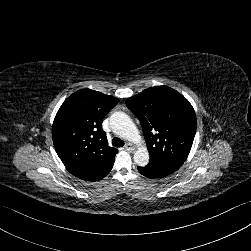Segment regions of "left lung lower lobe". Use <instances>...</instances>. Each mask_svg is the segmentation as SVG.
I'll return each mask as SVG.
<instances>
[{"label": "left lung lower lobe", "mask_w": 251, "mask_h": 251, "mask_svg": "<svg viewBox=\"0 0 251 251\" xmlns=\"http://www.w3.org/2000/svg\"><path fill=\"white\" fill-rule=\"evenodd\" d=\"M180 167V165L174 162L150 157L148 165L145 167H138V171L148 178H163L174 173Z\"/></svg>", "instance_id": "0a47b994"}]
</instances>
